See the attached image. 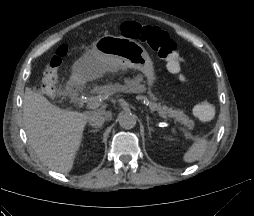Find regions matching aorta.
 Masks as SVG:
<instances>
[{
	"instance_id": "1",
	"label": "aorta",
	"mask_w": 254,
	"mask_h": 216,
	"mask_svg": "<svg viewBox=\"0 0 254 216\" xmlns=\"http://www.w3.org/2000/svg\"><path fill=\"white\" fill-rule=\"evenodd\" d=\"M119 125L123 129H132L136 126V116L131 113H123L118 117Z\"/></svg>"
}]
</instances>
